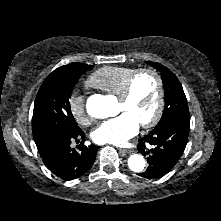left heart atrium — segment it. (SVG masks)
<instances>
[{
  "instance_id": "39dd6f15",
  "label": "left heart atrium",
  "mask_w": 221,
  "mask_h": 221,
  "mask_svg": "<svg viewBox=\"0 0 221 221\" xmlns=\"http://www.w3.org/2000/svg\"><path fill=\"white\" fill-rule=\"evenodd\" d=\"M139 122L129 113L102 122L93 132L92 138L97 143L124 145L137 134Z\"/></svg>"
}]
</instances>
